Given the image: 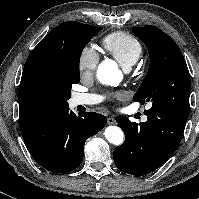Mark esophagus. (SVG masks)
<instances>
[{"label": "esophagus", "instance_id": "esophagus-1", "mask_svg": "<svg viewBox=\"0 0 199 199\" xmlns=\"http://www.w3.org/2000/svg\"><path fill=\"white\" fill-rule=\"evenodd\" d=\"M107 122H108L109 125H113V124H115V119L112 118V117H109Z\"/></svg>", "mask_w": 199, "mask_h": 199}]
</instances>
